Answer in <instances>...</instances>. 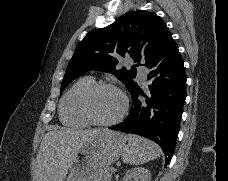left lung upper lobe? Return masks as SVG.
<instances>
[{
	"instance_id": "left-lung-upper-lobe-1",
	"label": "left lung upper lobe",
	"mask_w": 228,
	"mask_h": 181,
	"mask_svg": "<svg viewBox=\"0 0 228 181\" xmlns=\"http://www.w3.org/2000/svg\"><path fill=\"white\" fill-rule=\"evenodd\" d=\"M170 37L166 24L155 13L130 11L113 24L92 30L84 37L68 64L61 91L89 70L112 73L130 91L137 84L136 66L141 64L121 68L118 55L146 63Z\"/></svg>"
}]
</instances>
